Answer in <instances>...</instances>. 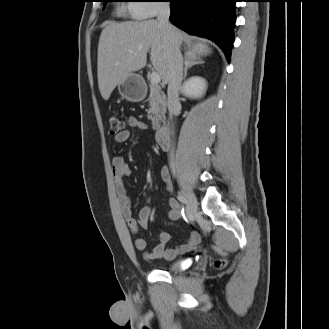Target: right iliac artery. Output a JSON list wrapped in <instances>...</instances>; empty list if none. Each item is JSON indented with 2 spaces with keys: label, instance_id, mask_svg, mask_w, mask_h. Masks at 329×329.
<instances>
[{
  "label": "right iliac artery",
  "instance_id": "obj_1",
  "mask_svg": "<svg viewBox=\"0 0 329 329\" xmlns=\"http://www.w3.org/2000/svg\"><path fill=\"white\" fill-rule=\"evenodd\" d=\"M178 200L183 204L187 203V199L184 196L180 195V194L178 195Z\"/></svg>",
  "mask_w": 329,
  "mask_h": 329
}]
</instances>
